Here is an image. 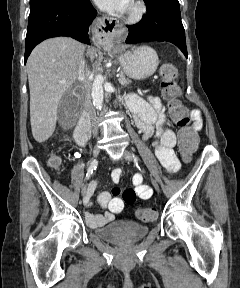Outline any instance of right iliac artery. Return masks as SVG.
<instances>
[{"mask_svg":"<svg viewBox=\"0 0 240 288\" xmlns=\"http://www.w3.org/2000/svg\"><path fill=\"white\" fill-rule=\"evenodd\" d=\"M96 165H97V160H93V161L91 162V165H90L87 173H86V178H85V180H88V179L90 178L91 174L93 173V170L96 168Z\"/></svg>","mask_w":240,"mask_h":288,"instance_id":"right-iliac-artery-1","label":"right iliac artery"}]
</instances>
